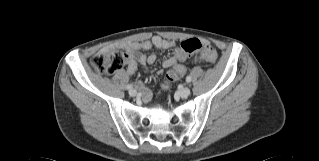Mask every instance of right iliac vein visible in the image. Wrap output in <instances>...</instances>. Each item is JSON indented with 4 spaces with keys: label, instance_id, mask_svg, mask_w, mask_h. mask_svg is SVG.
I'll list each match as a JSON object with an SVG mask.
<instances>
[{
    "label": "right iliac vein",
    "instance_id": "1",
    "mask_svg": "<svg viewBox=\"0 0 319 161\" xmlns=\"http://www.w3.org/2000/svg\"><path fill=\"white\" fill-rule=\"evenodd\" d=\"M129 94H130V96L134 97V96L137 95V91H136L135 89H131V90L129 91Z\"/></svg>",
    "mask_w": 319,
    "mask_h": 161
}]
</instances>
